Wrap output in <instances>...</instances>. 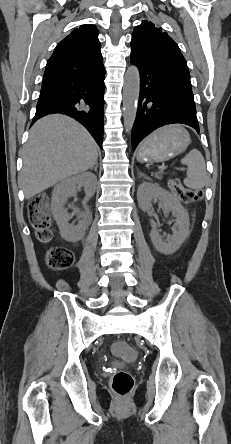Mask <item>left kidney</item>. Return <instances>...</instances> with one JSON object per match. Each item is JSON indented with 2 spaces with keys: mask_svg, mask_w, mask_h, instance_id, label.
<instances>
[{
  "mask_svg": "<svg viewBox=\"0 0 231 444\" xmlns=\"http://www.w3.org/2000/svg\"><path fill=\"white\" fill-rule=\"evenodd\" d=\"M137 199L140 208L149 212L153 209L152 200H160L164 212H172L175 217L173 234L163 240L156 228V223L151 220L150 237L156 250L162 254L170 255L176 252L189 235V215L180 201L170 192L157 184L143 182L137 191Z\"/></svg>",
  "mask_w": 231,
  "mask_h": 444,
  "instance_id": "5707ae66",
  "label": "left kidney"
}]
</instances>
